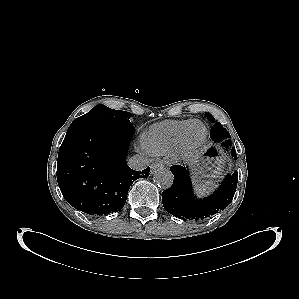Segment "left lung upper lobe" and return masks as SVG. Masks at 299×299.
Masks as SVG:
<instances>
[{
    "label": "left lung upper lobe",
    "instance_id": "left-lung-upper-lobe-1",
    "mask_svg": "<svg viewBox=\"0 0 299 299\" xmlns=\"http://www.w3.org/2000/svg\"><path fill=\"white\" fill-rule=\"evenodd\" d=\"M207 118L211 122L215 121L214 117L209 113H207ZM210 137L214 142H221L227 140L230 134L220 123H215L211 128Z\"/></svg>",
    "mask_w": 299,
    "mask_h": 299
}]
</instances>
